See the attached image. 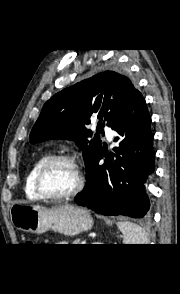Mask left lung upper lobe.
I'll return each mask as SVG.
<instances>
[{"label":"left lung upper lobe","instance_id":"obj_1","mask_svg":"<svg viewBox=\"0 0 180 294\" xmlns=\"http://www.w3.org/2000/svg\"><path fill=\"white\" fill-rule=\"evenodd\" d=\"M137 92L139 91L127 76L115 71H104L76 83L56 93L44 104L31 131L30 142L75 139L83 150L87 172L102 143L100 140H87L92 134L85 128V124L90 123L91 115H96L100 119L98 128L103 119L107 126H111Z\"/></svg>","mask_w":180,"mask_h":294}]
</instances>
